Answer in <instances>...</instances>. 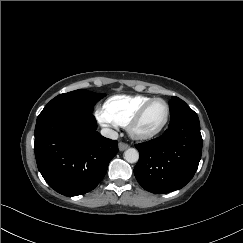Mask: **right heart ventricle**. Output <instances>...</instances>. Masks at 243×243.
Segmentation results:
<instances>
[{
	"mask_svg": "<svg viewBox=\"0 0 243 243\" xmlns=\"http://www.w3.org/2000/svg\"><path fill=\"white\" fill-rule=\"evenodd\" d=\"M150 99L143 95H116L105 102L104 111L116 124L127 126L132 116Z\"/></svg>",
	"mask_w": 243,
	"mask_h": 243,
	"instance_id": "obj_1",
	"label": "right heart ventricle"
}]
</instances>
